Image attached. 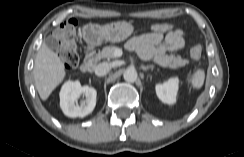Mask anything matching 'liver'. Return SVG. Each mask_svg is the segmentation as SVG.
<instances>
[{"label": "liver", "mask_w": 244, "mask_h": 157, "mask_svg": "<svg viewBox=\"0 0 244 157\" xmlns=\"http://www.w3.org/2000/svg\"><path fill=\"white\" fill-rule=\"evenodd\" d=\"M66 75L61 58L43 43L37 52L33 68L35 87L42 100H47Z\"/></svg>", "instance_id": "liver-1"}]
</instances>
